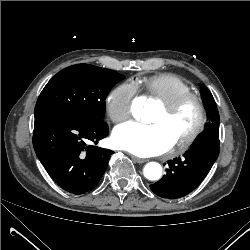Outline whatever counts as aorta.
<instances>
[{"mask_svg":"<svg viewBox=\"0 0 250 250\" xmlns=\"http://www.w3.org/2000/svg\"><path fill=\"white\" fill-rule=\"evenodd\" d=\"M145 120L149 121L151 119V115L148 109L143 111ZM144 176L149 180H158L162 175V167L159 163L149 162L144 167Z\"/></svg>","mask_w":250,"mask_h":250,"instance_id":"1","label":"aorta"}]
</instances>
